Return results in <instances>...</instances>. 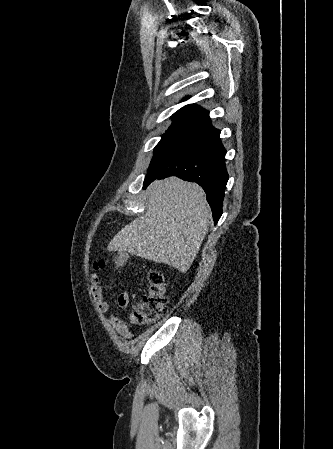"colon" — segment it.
Returning a JSON list of instances; mask_svg holds the SVG:
<instances>
[{
  "label": "colon",
  "mask_w": 333,
  "mask_h": 449,
  "mask_svg": "<svg viewBox=\"0 0 333 449\" xmlns=\"http://www.w3.org/2000/svg\"><path fill=\"white\" fill-rule=\"evenodd\" d=\"M129 255L125 252L114 251L106 258L95 264V270L105 268L107 265L119 269L126 266ZM164 276L160 272H153L149 277V288L142 300L134 305L131 321L136 325H147L158 320L167 304V295Z\"/></svg>",
  "instance_id": "1"
}]
</instances>
